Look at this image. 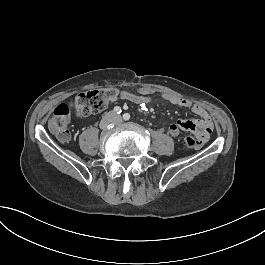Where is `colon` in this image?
<instances>
[{
	"label": "colon",
	"mask_w": 265,
	"mask_h": 265,
	"mask_svg": "<svg viewBox=\"0 0 265 265\" xmlns=\"http://www.w3.org/2000/svg\"><path fill=\"white\" fill-rule=\"evenodd\" d=\"M118 96L119 91L115 88L86 90L75 97L71 102V107L66 104L59 105L49 117L48 126L58 139L67 141L70 138L67 123L72 109L78 116H88L101 112L108 105L115 102ZM184 141L187 149L193 150L195 143L193 137L187 136Z\"/></svg>",
	"instance_id": "1"
}]
</instances>
